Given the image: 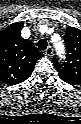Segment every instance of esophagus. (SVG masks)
<instances>
[{
  "label": "esophagus",
  "instance_id": "34e87169",
  "mask_svg": "<svg viewBox=\"0 0 81 124\" xmlns=\"http://www.w3.org/2000/svg\"><path fill=\"white\" fill-rule=\"evenodd\" d=\"M52 54H53V48L51 46H48L47 49L45 50V55L51 56Z\"/></svg>",
  "mask_w": 81,
  "mask_h": 124
}]
</instances>
